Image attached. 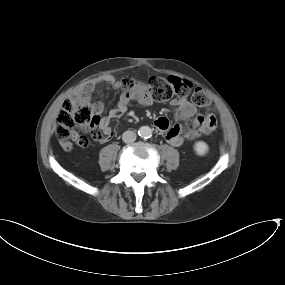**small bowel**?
I'll use <instances>...</instances> for the list:
<instances>
[{"instance_id": "c3829d8e", "label": "small bowel", "mask_w": 285, "mask_h": 285, "mask_svg": "<svg viewBox=\"0 0 285 285\" xmlns=\"http://www.w3.org/2000/svg\"><path fill=\"white\" fill-rule=\"evenodd\" d=\"M101 80H108L113 83L114 88L118 89L120 86V81L116 80L113 76H105L102 79H93L88 82V86L96 93L98 101L91 105L92 111L96 115L99 126L101 129L105 130L107 140L113 134V130L110 126V121L112 119L120 118L127 111L129 105L135 102L142 106H151L154 103L153 97L146 91H144V84L139 82L137 84L138 89L132 93L122 92L119 96L117 105L110 109L108 113L105 112V104L102 101L103 94L98 89V84ZM81 90H74L68 97V100H79ZM171 105L175 107V114L178 119H190L196 112L197 108L195 105L187 98H176L171 101ZM213 117L211 115H206L205 117H198L195 119V126L190 129L185 134H181V127L177 124L172 125L169 119L165 116H161L155 120V126L157 130L165 137L167 142L174 146L180 147L185 141H192L199 137L202 133H205L206 122ZM73 145H78L82 148H86L89 145V141L86 138L79 136L78 134L72 135V142L67 144L68 149H72Z\"/></svg>"}]
</instances>
